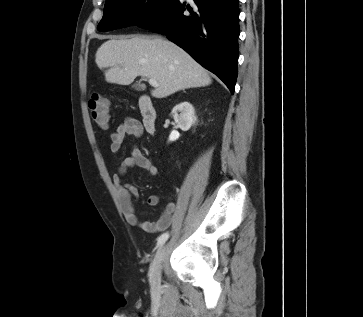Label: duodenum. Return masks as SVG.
I'll use <instances>...</instances> for the list:
<instances>
[{"mask_svg": "<svg viewBox=\"0 0 363 317\" xmlns=\"http://www.w3.org/2000/svg\"><path fill=\"white\" fill-rule=\"evenodd\" d=\"M138 107L145 130L150 134H155L157 131V113L151 98L146 95L142 96L139 99Z\"/></svg>", "mask_w": 363, "mask_h": 317, "instance_id": "1", "label": "duodenum"}]
</instances>
